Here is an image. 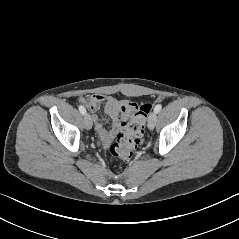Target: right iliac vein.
Segmentation results:
<instances>
[{"label":"right iliac vein","mask_w":239,"mask_h":239,"mask_svg":"<svg viewBox=\"0 0 239 239\" xmlns=\"http://www.w3.org/2000/svg\"><path fill=\"white\" fill-rule=\"evenodd\" d=\"M83 122H84V127L87 130H90L92 128V120L89 114H85Z\"/></svg>","instance_id":"63e3f726"}]
</instances>
